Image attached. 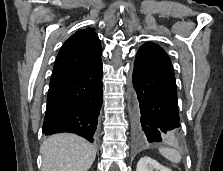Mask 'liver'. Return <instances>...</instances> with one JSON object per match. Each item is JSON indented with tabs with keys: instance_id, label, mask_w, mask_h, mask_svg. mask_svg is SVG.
<instances>
[{
	"instance_id": "liver-1",
	"label": "liver",
	"mask_w": 223,
	"mask_h": 171,
	"mask_svg": "<svg viewBox=\"0 0 223 171\" xmlns=\"http://www.w3.org/2000/svg\"><path fill=\"white\" fill-rule=\"evenodd\" d=\"M41 171H87L96 157V148L85 139L68 133L47 138L40 147Z\"/></svg>"
}]
</instances>
